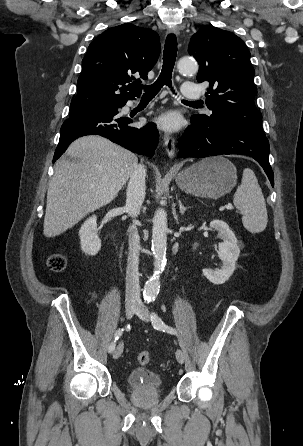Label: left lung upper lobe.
<instances>
[{
  "label": "left lung upper lobe",
  "mask_w": 303,
  "mask_h": 446,
  "mask_svg": "<svg viewBox=\"0 0 303 446\" xmlns=\"http://www.w3.org/2000/svg\"><path fill=\"white\" fill-rule=\"evenodd\" d=\"M188 52L199 62L197 81L209 82L206 105L212 115L196 114L199 123H221L258 136H265L254 98L255 71L250 52L235 34L213 26L199 29L191 38Z\"/></svg>",
  "instance_id": "left-lung-upper-lobe-1"
}]
</instances>
